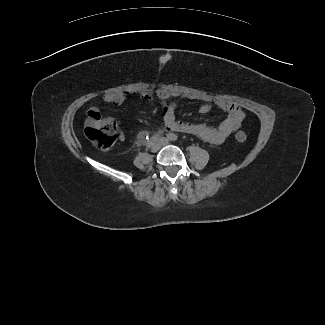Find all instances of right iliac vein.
Masks as SVG:
<instances>
[{
    "label": "right iliac vein",
    "mask_w": 325,
    "mask_h": 325,
    "mask_svg": "<svg viewBox=\"0 0 325 325\" xmlns=\"http://www.w3.org/2000/svg\"><path fill=\"white\" fill-rule=\"evenodd\" d=\"M162 144L161 142H155L150 148L152 152H158L161 148Z\"/></svg>",
    "instance_id": "63e3f726"
}]
</instances>
